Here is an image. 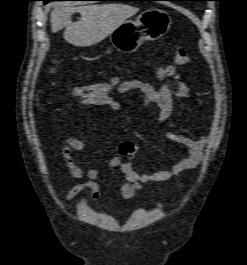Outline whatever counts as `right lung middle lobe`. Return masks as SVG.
I'll return each mask as SVG.
<instances>
[{
    "label": "right lung middle lobe",
    "instance_id": "dd1d6c3e",
    "mask_svg": "<svg viewBox=\"0 0 247 265\" xmlns=\"http://www.w3.org/2000/svg\"><path fill=\"white\" fill-rule=\"evenodd\" d=\"M45 3L49 2V1H53V0H42ZM99 1H120V0H99Z\"/></svg>",
    "mask_w": 247,
    "mask_h": 265
}]
</instances>
